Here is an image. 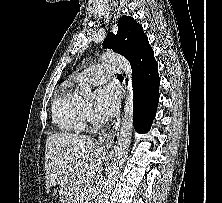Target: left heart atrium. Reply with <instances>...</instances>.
Listing matches in <instances>:
<instances>
[{"mask_svg":"<svg viewBox=\"0 0 222 203\" xmlns=\"http://www.w3.org/2000/svg\"><path fill=\"white\" fill-rule=\"evenodd\" d=\"M119 92L113 86L99 88L95 95V110L102 116H112L118 110Z\"/></svg>","mask_w":222,"mask_h":203,"instance_id":"39dd6f15","label":"left heart atrium"}]
</instances>
